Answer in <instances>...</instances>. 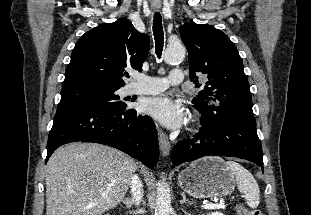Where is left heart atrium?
<instances>
[{
    "label": "left heart atrium",
    "instance_id": "1",
    "mask_svg": "<svg viewBox=\"0 0 311 215\" xmlns=\"http://www.w3.org/2000/svg\"><path fill=\"white\" fill-rule=\"evenodd\" d=\"M141 111L170 129L180 127L185 118V109L182 104L166 95L145 100L141 104Z\"/></svg>",
    "mask_w": 311,
    "mask_h": 215
}]
</instances>
